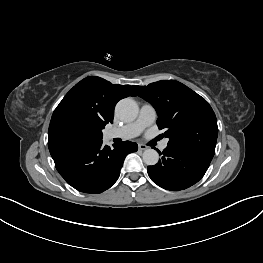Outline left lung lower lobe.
Masks as SVG:
<instances>
[{"label":"left lung lower lobe","mask_w":263,"mask_h":263,"mask_svg":"<svg viewBox=\"0 0 263 263\" xmlns=\"http://www.w3.org/2000/svg\"><path fill=\"white\" fill-rule=\"evenodd\" d=\"M162 154V159L156 165L148 166V175L158 186L172 191L183 190L197 183L213 158L205 153L172 146H167Z\"/></svg>","instance_id":"1"}]
</instances>
